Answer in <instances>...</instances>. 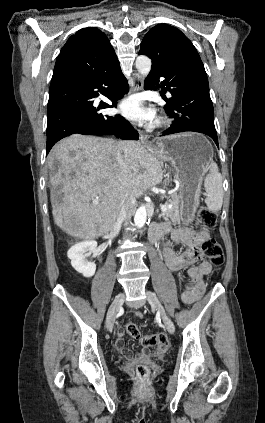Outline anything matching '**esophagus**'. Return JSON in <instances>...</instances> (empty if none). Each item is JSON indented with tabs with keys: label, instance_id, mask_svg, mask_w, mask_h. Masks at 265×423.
Listing matches in <instances>:
<instances>
[{
	"label": "esophagus",
	"instance_id": "obj_1",
	"mask_svg": "<svg viewBox=\"0 0 265 423\" xmlns=\"http://www.w3.org/2000/svg\"><path fill=\"white\" fill-rule=\"evenodd\" d=\"M142 88H143V79L139 74L136 73L134 75V85L131 89V92H138V91L142 90ZM140 140H141L142 143H144L148 146H150L151 143H152L151 140L143 134H140Z\"/></svg>",
	"mask_w": 265,
	"mask_h": 423
}]
</instances>
